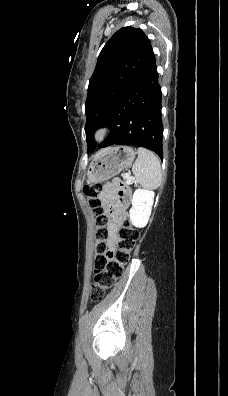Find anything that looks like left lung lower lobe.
I'll return each mask as SVG.
<instances>
[{"mask_svg":"<svg viewBox=\"0 0 228 396\" xmlns=\"http://www.w3.org/2000/svg\"><path fill=\"white\" fill-rule=\"evenodd\" d=\"M161 87L154 54L125 91L107 126L112 132L100 147L135 145L154 151L163 158Z\"/></svg>","mask_w":228,"mask_h":396,"instance_id":"1","label":"left lung lower lobe"}]
</instances>
